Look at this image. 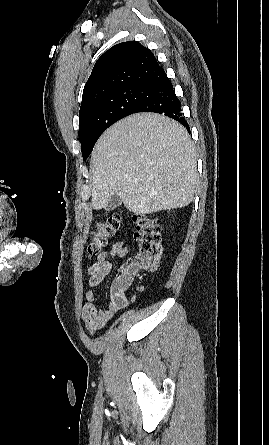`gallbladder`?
Instances as JSON below:
<instances>
[{
	"instance_id": "gallbladder-1",
	"label": "gallbladder",
	"mask_w": 269,
	"mask_h": 445,
	"mask_svg": "<svg viewBox=\"0 0 269 445\" xmlns=\"http://www.w3.org/2000/svg\"><path fill=\"white\" fill-rule=\"evenodd\" d=\"M121 204V199L117 194H114L111 196V198L108 201V205L105 208L107 211L114 210L117 206Z\"/></svg>"
}]
</instances>
